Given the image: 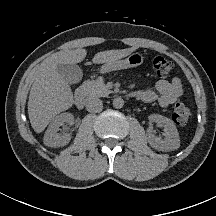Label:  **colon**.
I'll use <instances>...</instances> for the list:
<instances>
[{
	"label": "colon",
	"instance_id": "5ec220e1",
	"mask_svg": "<svg viewBox=\"0 0 216 216\" xmlns=\"http://www.w3.org/2000/svg\"><path fill=\"white\" fill-rule=\"evenodd\" d=\"M153 67L158 77H167L173 69V64L169 59L158 56L153 60ZM190 116L189 108L182 101H177L172 115L174 123L178 126H185L189 122Z\"/></svg>",
	"mask_w": 216,
	"mask_h": 216
}]
</instances>
